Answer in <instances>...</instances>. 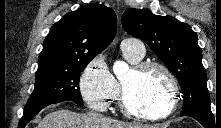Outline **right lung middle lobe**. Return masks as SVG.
<instances>
[{
	"label": "right lung middle lobe",
	"mask_w": 221,
	"mask_h": 128,
	"mask_svg": "<svg viewBox=\"0 0 221 128\" xmlns=\"http://www.w3.org/2000/svg\"><path fill=\"white\" fill-rule=\"evenodd\" d=\"M92 59L74 61L62 67L37 70L34 91L24 110L55 101H73L83 105L79 78Z\"/></svg>",
	"instance_id": "dd1d6c3e"
}]
</instances>
